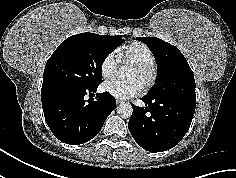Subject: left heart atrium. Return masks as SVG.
I'll list each match as a JSON object with an SVG mask.
<instances>
[{
	"instance_id": "39dd6f15",
	"label": "left heart atrium",
	"mask_w": 236,
	"mask_h": 178,
	"mask_svg": "<svg viewBox=\"0 0 236 178\" xmlns=\"http://www.w3.org/2000/svg\"><path fill=\"white\" fill-rule=\"evenodd\" d=\"M103 89L117 99H129L142 91V84L135 79L112 80L106 82Z\"/></svg>"
}]
</instances>
